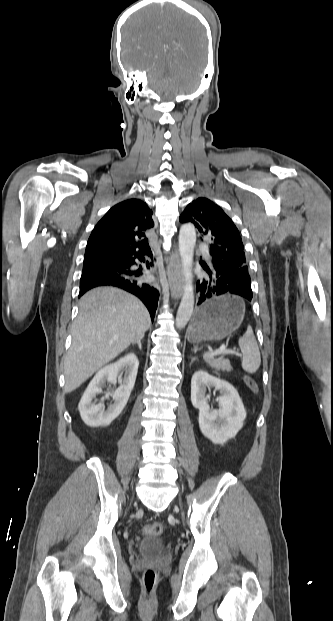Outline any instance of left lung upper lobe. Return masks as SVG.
<instances>
[{
	"mask_svg": "<svg viewBox=\"0 0 333 621\" xmlns=\"http://www.w3.org/2000/svg\"><path fill=\"white\" fill-rule=\"evenodd\" d=\"M182 223L191 222L210 239V255L227 262L232 268L248 271L239 230L217 204L198 198L187 205L180 216Z\"/></svg>",
	"mask_w": 333,
	"mask_h": 621,
	"instance_id": "1",
	"label": "left lung upper lobe"
}]
</instances>
